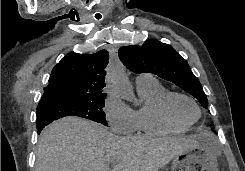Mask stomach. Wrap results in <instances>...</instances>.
Wrapping results in <instances>:
<instances>
[{"label": "stomach", "instance_id": "obj_1", "mask_svg": "<svg viewBox=\"0 0 245 171\" xmlns=\"http://www.w3.org/2000/svg\"><path fill=\"white\" fill-rule=\"evenodd\" d=\"M172 171H219L215 142L203 136L199 144L173 158Z\"/></svg>", "mask_w": 245, "mask_h": 171}]
</instances>
